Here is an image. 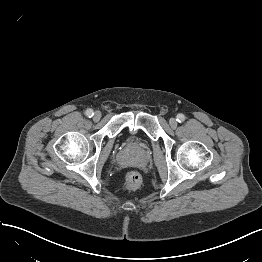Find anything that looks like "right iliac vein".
<instances>
[{
    "label": "right iliac vein",
    "instance_id": "63e3f726",
    "mask_svg": "<svg viewBox=\"0 0 262 262\" xmlns=\"http://www.w3.org/2000/svg\"><path fill=\"white\" fill-rule=\"evenodd\" d=\"M100 118H101V113L99 111H96L93 116L94 121H99Z\"/></svg>",
    "mask_w": 262,
    "mask_h": 262
}]
</instances>
